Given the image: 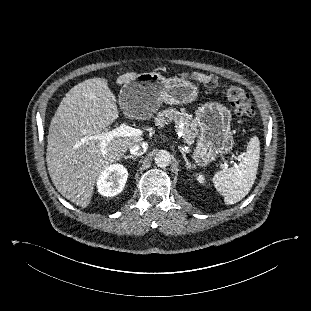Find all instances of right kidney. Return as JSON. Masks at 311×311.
I'll list each match as a JSON object with an SVG mask.
<instances>
[{
    "mask_svg": "<svg viewBox=\"0 0 311 311\" xmlns=\"http://www.w3.org/2000/svg\"><path fill=\"white\" fill-rule=\"evenodd\" d=\"M128 171L121 164H112L106 167L97 180L98 192L106 197L119 194L127 181Z\"/></svg>",
    "mask_w": 311,
    "mask_h": 311,
    "instance_id": "right-kidney-1",
    "label": "right kidney"
}]
</instances>
